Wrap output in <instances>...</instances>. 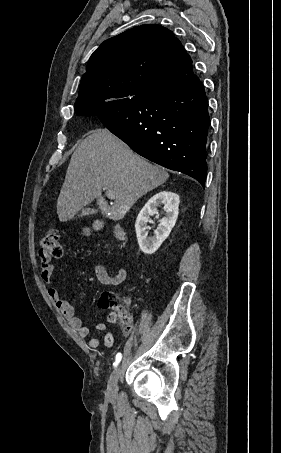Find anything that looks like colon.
I'll return each instance as SVG.
<instances>
[{
  "mask_svg": "<svg viewBox=\"0 0 281 453\" xmlns=\"http://www.w3.org/2000/svg\"><path fill=\"white\" fill-rule=\"evenodd\" d=\"M42 248L39 253V261L46 263L54 259H60L63 256L64 248L61 239V233L57 228H50L47 235L42 239ZM122 324L125 329L130 326L127 313H122Z\"/></svg>",
  "mask_w": 281,
  "mask_h": 453,
  "instance_id": "obj_1",
  "label": "colon"
}]
</instances>
